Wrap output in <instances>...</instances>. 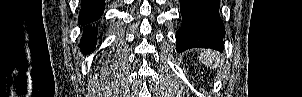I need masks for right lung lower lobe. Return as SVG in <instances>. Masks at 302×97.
Here are the masks:
<instances>
[{"label":"right lung lower lobe","mask_w":302,"mask_h":97,"mask_svg":"<svg viewBox=\"0 0 302 97\" xmlns=\"http://www.w3.org/2000/svg\"><path fill=\"white\" fill-rule=\"evenodd\" d=\"M104 8L105 0H81L79 23L84 25L98 20L102 16ZM83 30L80 48L86 54L90 53L94 47L97 26L88 25Z\"/></svg>","instance_id":"1"}]
</instances>
